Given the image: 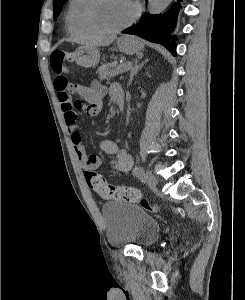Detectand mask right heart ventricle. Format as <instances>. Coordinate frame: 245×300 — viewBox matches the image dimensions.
Wrapping results in <instances>:
<instances>
[{
    "label": "right heart ventricle",
    "instance_id": "1",
    "mask_svg": "<svg viewBox=\"0 0 245 300\" xmlns=\"http://www.w3.org/2000/svg\"><path fill=\"white\" fill-rule=\"evenodd\" d=\"M86 0H70L66 13V27L71 34L88 35L92 34L81 21V10Z\"/></svg>",
    "mask_w": 245,
    "mask_h": 300
}]
</instances>
